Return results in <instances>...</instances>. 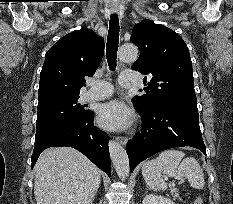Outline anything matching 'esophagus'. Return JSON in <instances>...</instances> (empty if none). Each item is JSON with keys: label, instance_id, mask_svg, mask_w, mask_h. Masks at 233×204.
<instances>
[{"label": "esophagus", "instance_id": "esophagus-1", "mask_svg": "<svg viewBox=\"0 0 233 204\" xmlns=\"http://www.w3.org/2000/svg\"><path fill=\"white\" fill-rule=\"evenodd\" d=\"M112 12L113 13H118L119 9L117 7H112ZM116 140L122 145H126V143H127V138L124 137V136H117Z\"/></svg>", "mask_w": 233, "mask_h": 204}]
</instances>
